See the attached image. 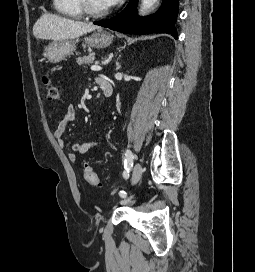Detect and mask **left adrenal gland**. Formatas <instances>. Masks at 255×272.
Returning <instances> with one entry per match:
<instances>
[{
	"mask_svg": "<svg viewBox=\"0 0 255 272\" xmlns=\"http://www.w3.org/2000/svg\"><path fill=\"white\" fill-rule=\"evenodd\" d=\"M121 55H119V57L117 58L116 61V70H119L121 68V65L119 64L118 60L120 59Z\"/></svg>",
	"mask_w": 255,
	"mask_h": 272,
	"instance_id": "a2214340",
	"label": "left adrenal gland"
}]
</instances>
